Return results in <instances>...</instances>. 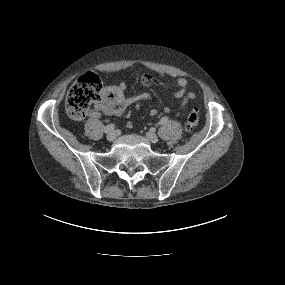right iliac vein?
<instances>
[{
    "label": "right iliac vein",
    "instance_id": "1",
    "mask_svg": "<svg viewBox=\"0 0 285 285\" xmlns=\"http://www.w3.org/2000/svg\"><path fill=\"white\" fill-rule=\"evenodd\" d=\"M116 137H117V134L114 131L109 132L107 135V139L109 141H114L116 139Z\"/></svg>",
    "mask_w": 285,
    "mask_h": 285
}]
</instances>
